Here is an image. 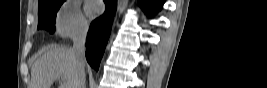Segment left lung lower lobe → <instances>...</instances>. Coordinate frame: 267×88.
Masks as SVG:
<instances>
[{
  "label": "left lung lower lobe",
  "mask_w": 267,
  "mask_h": 88,
  "mask_svg": "<svg viewBox=\"0 0 267 88\" xmlns=\"http://www.w3.org/2000/svg\"><path fill=\"white\" fill-rule=\"evenodd\" d=\"M140 5L149 15L159 11L164 3V0H139Z\"/></svg>",
  "instance_id": "obj_1"
}]
</instances>
